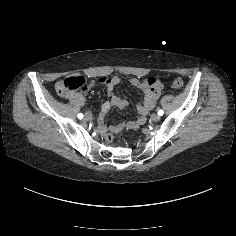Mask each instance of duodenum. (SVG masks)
<instances>
[{
	"label": "duodenum",
	"mask_w": 236,
	"mask_h": 236,
	"mask_svg": "<svg viewBox=\"0 0 236 236\" xmlns=\"http://www.w3.org/2000/svg\"><path fill=\"white\" fill-rule=\"evenodd\" d=\"M107 82L109 83L110 92H111L112 87L118 83L117 81H115V79L108 80ZM134 85H136V86H138V87L144 89V90L147 92V97H146V100H145L144 104L139 107V108H141V107L145 106V104H146L149 100H151V99L154 98V96H155V94H156V92H157V88H156V85H155V84L146 83V82H138V81H136V82L134 83ZM114 101H118V99H117V98H114ZM74 102L77 103V104H80V103H81V101H79V100H75ZM122 127H123V126H118V127L116 128V131L120 130Z\"/></svg>",
	"instance_id": "obj_1"
}]
</instances>
